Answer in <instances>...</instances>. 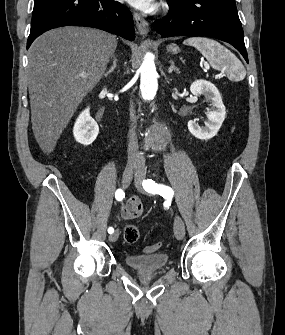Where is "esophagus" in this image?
Wrapping results in <instances>:
<instances>
[{
    "label": "esophagus",
    "instance_id": "obj_1",
    "mask_svg": "<svg viewBox=\"0 0 285 335\" xmlns=\"http://www.w3.org/2000/svg\"><path fill=\"white\" fill-rule=\"evenodd\" d=\"M134 19L139 33H141V35L147 34L150 30L149 23L138 13H134Z\"/></svg>",
    "mask_w": 285,
    "mask_h": 335
}]
</instances>
